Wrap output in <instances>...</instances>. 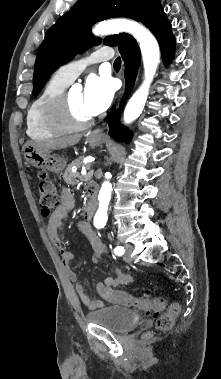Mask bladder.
<instances>
[{"instance_id": "obj_1", "label": "bladder", "mask_w": 221, "mask_h": 379, "mask_svg": "<svg viewBox=\"0 0 221 379\" xmlns=\"http://www.w3.org/2000/svg\"><path fill=\"white\" fill-rule=\"evenodd\" d=\"M86 320L89 323L106 327L115 333L124 334L138 324L139 318L128 308L104 306L88 312Z\"/></svg>"}]
</instances>
